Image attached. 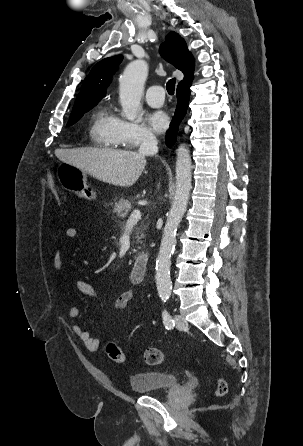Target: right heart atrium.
I'll return each instance as SVG.
<instances>
[{
  "instance_id": "1",
  "label": "right heart atrium",
  "mask_w": 303,
  "mask_h": 446,
  "mask_svg": "<svg viewBox=\"0 0 303 446\" xmlns=\"http://www.w3.org/2000/svg\"><path fill=\"white\" fill-rule=\"evenodd\" d=\"M118 136L122 145L137 148L156 141L154 133L140 121L119 120Z\"/></svg>"
}]
</instances>
